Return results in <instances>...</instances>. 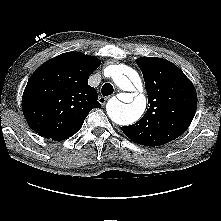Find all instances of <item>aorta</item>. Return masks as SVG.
Segmentation results:
<instances>
[{"label": "aorta", "instance_id": "obj_1", "mask_svg": "<svg viewBox=\"0 0 221 221\" xmlns=\"http://www.w3.org/2000/svg\"><path fill=\"white\" fill-rule=\"evenodd\" d=\"M110 72L114 83L123 91H133L134 86L141 85L138 73L125 65H112ZM127 103H122L116 98L109 100L106 111L113 122L129 125L142 116L146 108V98L143 94L134 97L128 93Z\"/></svg>", "mask_w": 221, "mask_h": 221}]
</instances>
